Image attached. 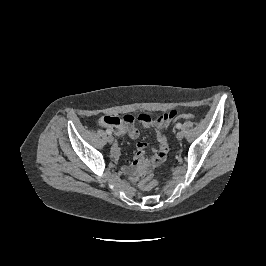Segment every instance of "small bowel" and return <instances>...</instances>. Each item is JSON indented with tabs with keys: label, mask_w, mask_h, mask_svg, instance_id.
<instances>
[{
	"label": "small bowel",
	"mask_w": 266,
	"mask_h": 266,
	"mask_svg": "<svg viewBox=\"0 0 266 266\" xmlns=\"http://www.w3.org/2000/svg\"><path fill=\"white\" fill-rule=\"evenodd\" d=\"M177 117V111L171 110L156 118L142 114L138 117L134 115H125L122 118L105 116L100 119L102 126L110 127L116 134H128L132 139H137L139 136V131L135 126L136 120L156 130L158 147L155 154L152 157H146L145 150L147 144L138 142L134 161L125 167L126 172L131 175L132 180L137 181L143 173L150 171L165 160L169 145L164 129ZM112 153L115 158L119 156L120 149L117 145L113 147Z\"/></svg>",
	"instance_id": "obj_1"
}]
</instances>
